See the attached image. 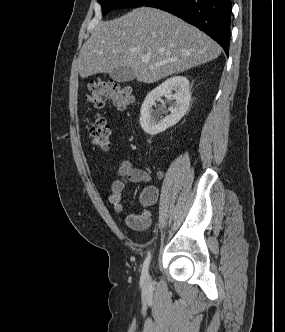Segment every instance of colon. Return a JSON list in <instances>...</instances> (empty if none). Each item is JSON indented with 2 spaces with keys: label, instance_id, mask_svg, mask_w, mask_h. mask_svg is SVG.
I'll return each mask as SVG.
<instances>
[{
  "label": "colon",
  "instance_id": "obj_1",
  "mask_svg": "<svg viewBox=\"0 0 285 332\" xmlns=\"http://www.w3.org/2000/svg\"><path fill=\"white\" fill-rule=\"evenodd\" d=\"M107 99L113 101L119 110H124L133 101L132 89L111 80H95L88 86L86 101L96 110H100ZM89 134L92 142L102 149L110 143L111 129L105 119L96 114L89 123Z\"/></svg>",
  "mask_w": 285,
  "mask_h": 332
}]
</instances>
